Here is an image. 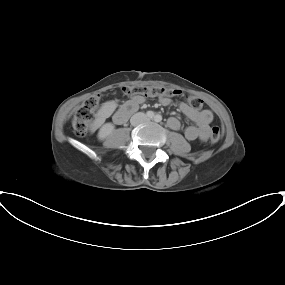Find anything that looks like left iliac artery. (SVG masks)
<instances>
[{
    "instance_id": "44dca946",
    "label": "left iliac artery",
    "mask_w": 285,
    "mask_h": 285,
    "mask_svg": "<svg viewBox=\"0 0 285 285\" xmlns=\"http://www.w3.org/2000/svg\"><path fill=\"white\" fill-rule=\"evenodd\" d=\"M154 119L156 122H160L162 120V117L160 115H156Z\"/></svg>"
}]
</instances>
